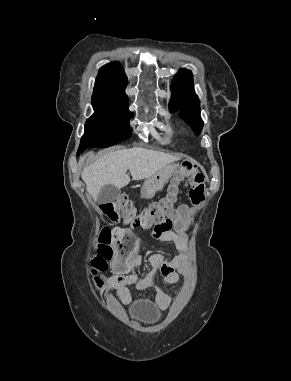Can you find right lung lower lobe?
<instances>
[{
	"label": "right lung lower lobe",
	"mask_w": 291,
	"mask_h": 381,
	"mask_svg": "<svg viewBox=\"0 0 291 381\" xmlns=\"http://www.w3.org/2000/svg\"><path fill=\"white\" fill-rule=\"evenodd\" d=\"M82 152V149H78L77 155H79Z\"/></svg>",
	"instance_id": "98d812e1"
}]
</instances>
